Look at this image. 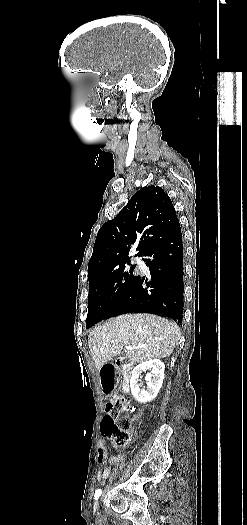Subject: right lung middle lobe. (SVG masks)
I'll return each instance as SVG.
<instances>
[{"label":"right lung middle lobe","instance_id":"right-lung-middle-lobe-1","mask_svg":"<svg viewBox=\"0 0 247 525\" xmlns=\"http://www.w3.org/2000/svg\"><path fill=\"white\" fill-rule=\"evenodd\" d=\"M135 266L132 265L129 270L123 266L113 270L88 274L87 328L114 315L137 277L133 274Z\"/></svg>","mask_w":247,"mask_h":525}]
</instances>
